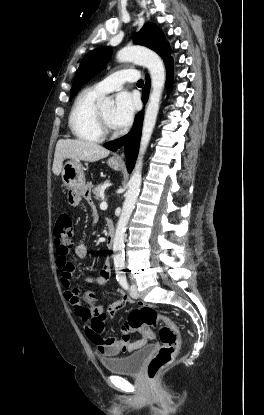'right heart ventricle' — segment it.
I'll return each instance as SVG.
<instances>
[{
	"instance_id": "right-heart-ventricle-1",
	"label": "right heart ventricle",
	"mask_w": 264,
	"mask_h": 415,
	"mask_svg": "<svg viewBox=\"0 0 264 415\" xmlns=\"http://www.w3.org/2000/svg\"><path fill=\"white\" fill-rule=\"evenodd\" d=\"M99 96L93 90H84L76 97L68 120L70 131L76 139L94 143L102 141L103 137L97 130L95 120Z\"/></svg>"
}]
</instances>
